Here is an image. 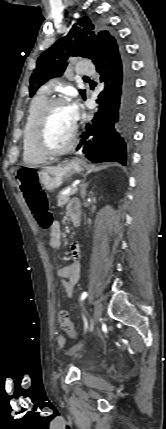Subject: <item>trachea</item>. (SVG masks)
I'll return each mask as SVG.
<instances>
[{
  "label": "trachea",
  "instance_id": "obj_1",
  "mask_svg": "<svg viewBox=\"0 0 166 429\" xmlns=\"http://www.w3.org/2000/svg\"><path fill=\"white\" fill-rule=\"evenodd\" d=\"M89 78L87 76L84 77V80H88Z\"/></svg>",
  "mask_w": 166,
  "mask_h": 429
}]
</instances>
